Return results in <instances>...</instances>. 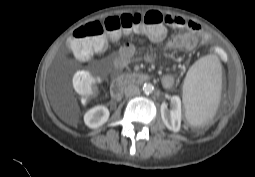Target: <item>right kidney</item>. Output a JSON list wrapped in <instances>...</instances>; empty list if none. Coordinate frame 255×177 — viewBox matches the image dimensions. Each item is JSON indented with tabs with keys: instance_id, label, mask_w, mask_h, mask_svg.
<instances>
[{
	"instance_id": "1",
	"label": "right kidney",
	"mask_w": 255,
	"mask_h": 177,
	"mask_svg": "<svg viewBox=\"0 0 255 177\" xmlns=\"http://www.w3.org/2000/svg\"><path fill=\"white\" fill-rule=\"evenodd\" d=\"M109 115L107 107L98 105L85 113L84 122L89 128L95 129L106 123Z\"/></svg>"
}]
</instances>
